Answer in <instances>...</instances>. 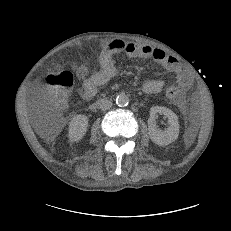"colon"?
<instances>
[{"label":"colon","mask_w":231,"mask_h":231,"mask_svg":"<svg viewBox=\"0 0 231 231\" xmlns=\"http://www.w3.org/2000/svg\"><path fill=\"white\" fill-rule=\"evenodd\" d=\"M47 85L48 98L52 106L58 111L63 112L68 107L69 91L73 86L74 78L69 71L50 73L45 79ZM168 99L175 100L180 95L178 87L168 85L165 88Z\"/></svg>","instance_id":"obj_1"}]
</instances>
